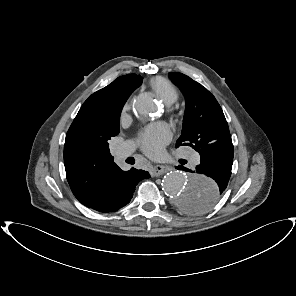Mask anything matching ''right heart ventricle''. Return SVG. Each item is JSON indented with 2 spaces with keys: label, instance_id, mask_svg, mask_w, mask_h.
I'll return each instance as SVG.
<instances>
[{
  "label": "right heart ventricle",
  "instance_id": "e07e8e85",
  "mask_svg": "<svg viewBox=\"0 0 296 296\" xmlns=\"http://www.w3.org/2000/svg\"><path fill=\"white\" fill-rule=\"evenodd\" d=\"M150 87L165 105H172L178 99L177 89L171 82L162 77L152 79Z\"/></svg>",
  "mask_w": 296,
  "mask_h": 296
}]
</instances>
